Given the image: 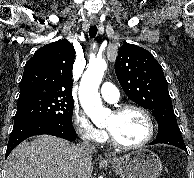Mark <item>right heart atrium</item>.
<instances>
[{
  "label": "right heart atrium",
  "instance_id": "obj_1",
  "mask_svg": "<svg viewBox=\"0 0 194 178\" xmlns=\"http://www.w3.org/2000/svg\"><path fill=\"white\" fill-rule=\"evenodd\" d=\"M73 126L77 135L87 143L99 144L106 139V133L95 127L82 112H75Z\"/></svg>",
  "mask_w": 194,
  "mask_h": 178
}]
</instances>
